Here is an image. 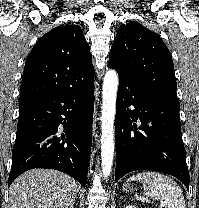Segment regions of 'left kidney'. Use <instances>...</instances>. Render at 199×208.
<instances>
[{
	"mask_svg": "<svg viewBox=\"0 0 199 208\" xmlns=\"http://www.w3.org/2000/svg\"><path fill=\"white\" fill-rule=\"evenodd\" d=\"M126 208H136L134 205H128Z\"/></svg>",
	"mask_w": 199,
	"mask_h": 208,
	"instance_id": "5707ae66",
	"label": "left kidney"
}]
</instances>
